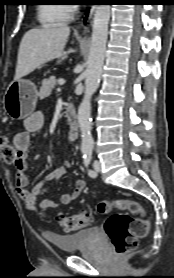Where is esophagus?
Here are the masks:
<instances>
[{"mask_svg":"<svg viewBox=\"0 0 174 278\" xmlns=\"http://www.w3.org/2000/svg\"><path fill=\"white\" fill-rule=\"evenodd\" d=\"M94 10H95V6H92L90 11H89V15H88V20H87L88 24L86 26H84L83 31H82L83 34L86 33L89 30V23H90V21L93 17Z\"/></svg>","mask_w":174,"mask_h":278,"instance_id":"34e87169","label":"esophagus"}]
</instances>
